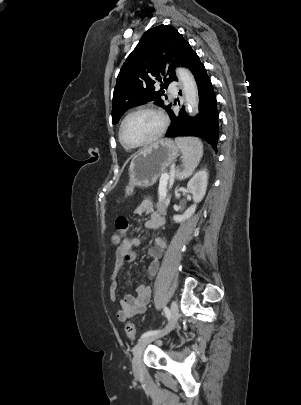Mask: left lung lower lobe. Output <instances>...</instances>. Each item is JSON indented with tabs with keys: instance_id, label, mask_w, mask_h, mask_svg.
<instances>
[{
	"instance_id": "0a47b994",
	"label": "left lung lower lobe",
	"mask_w": 301,
	"mask_h": 405,
	"mask_svg": "<svg viewBox=\"0 0 301 405\" xmlns=\"http://www.w3.org/2000/svg\"><path fill=\"white\" fill-rule=\"evenodd\" d=\"M194 74L199 91V113L190 117L184 109L167 111L171 118L166 137L194 136L206 140L213 148L218 144V111L216 96L204 65L194 52L187 63Z\"/></svg>"
}]
</instances>
